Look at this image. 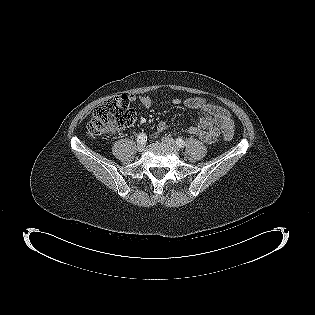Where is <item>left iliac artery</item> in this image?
Returning a JSON list of instances; mask_svg holds the SVG:
<instances>
[{"label":"left iliac artery","instance_id":"left-iliac-artery-1","mask_svg":"<svg viewBox=\"0 0 315 315\" xmlns=\"http://www.w3.org/2000/svg\"><path fill=\"white\" fill-rule=\"evenodd\" d=\"M176 143L180 148H184L185 146V142L181 138H177Z\"/></svg>","mask_w":315,"mask_h":315}]
</instances>
